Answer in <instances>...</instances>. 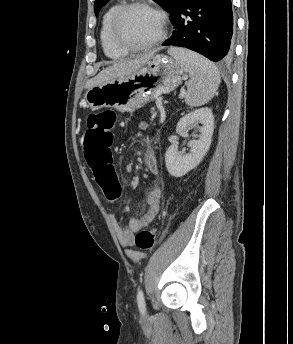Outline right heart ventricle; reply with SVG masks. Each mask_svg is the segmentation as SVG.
<instances>
[{
    "label": "right heart ventricle",
    "instance_id": "right-heart-ventricle-1",
    "mask_svg": "<svg viewBox=\"0 0 293 344\" xmlns=\"http://www.w3.org/2000/svg\"><path fill=\"white\" fill-rule=\"evenodd\" d=\"M120 3L112 4L104 13L99 32L100 42L105 56L111 60L124 59L128 52L117 47L111 37V22Z\"/></svg>",
    "mask_w": 293,
    "mask_h": 344
}]
</instances>
